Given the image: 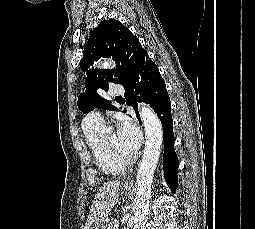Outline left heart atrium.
<instances>
[{
	"label": "left heart atrium",
	"mask_w": 255,
	"mask_h": 229,
	"mask_svg": "<svg viewBox=\"0 0 255 229\" xmlns=\"http://www.w3.org/2000/svg\"><path fill=\"white\" fill-rule=\"evenodd\" d=\"M117 138L121 148L131 156L139 149L141 134L139 129L131 121L127 119L120 120Z\"/></svg>",
	"instance_id": "39dd6f15"
}]
</instances>
